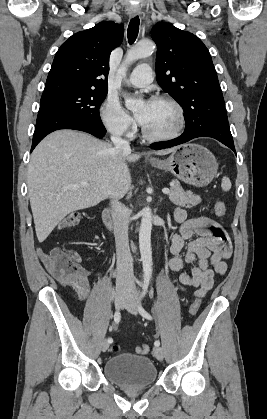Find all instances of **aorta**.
<instances>
[{"mask_svg":"<svg viewBox=\"0 0 267 419\" xmlns=\"http://www.w3.org/2000/svg\"><path fill=\"white\" fill-rule=\"evenodd\" d=\"M155 50V45L152 42H142L131 48L119 68V73L126 75L127 66L144 57L150 56ZM143 103L141 99L127 98L125 105L128 109L133 110ZM141 225L139 230V248L141 254V261L143 265V279L144 285L148 286L152 276V251H151V230H152V211L149 207L143 208Z\"/></svg>","mask_w":267,"mask_h":419,"instance_id":"1","label":"aorta"}]
</instances>
